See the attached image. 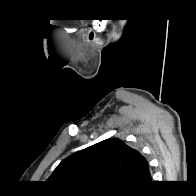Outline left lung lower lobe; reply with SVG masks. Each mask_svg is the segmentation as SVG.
Returning <instances> with one entry per match:
<instances>
[{
  "label": "left lung lower lobe",
  "instance_id": "1",
  "mask_svg": "<svg viewBox=\"0 0 196 196\" xmlns=\"http://www.w3.org/2000/svg\"><path fill=\"white\" fill-rule=\"evenodd\" d=\"M149 182H151V175L149 176V179L147 180L146 183H149Z\"/></svg>",
  "mask_w": 196,
  "mask_h": 196
}]
</instances>
